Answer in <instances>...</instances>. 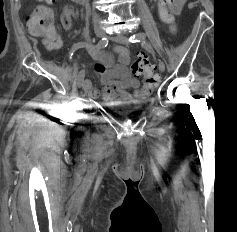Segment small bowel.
<instances>
[{
    "instance_id": "1",
    "label": "small bowel",
    "mask_w": 237,
    "mask_h": 232,
    "mask_svg": "<svg viewBox=\"0 0 237 232\" xmlns=\"http://www.w3.org/2000/svg\"><path fill=\"white\" fill-rule=\"evenodd\" d=\"M152 1L157 3L158 0ZM170 1V8L175 15L180 13L186 2V0ZM69 8L73 7L66 6L61 19L62 26L67 30L71 28L72 21L76 17L69 18L66 15V10ZM89 44L90 46L87 47L88 53L97 61L94 71L100 76L103 85V101L107 103H125L131 101L132 95L130 94V90H135L134 96L137 98H143L149 94V90L139 88L138 80L129 72L128 65L131 61V53L127 48L119 45L113 47V52L118 56V61L115 63L111 54L99 51L91 43ZM84 89L91 98H97L99 96V91L89 79L84 81Z\"/></svg>"
}]
</instances>
